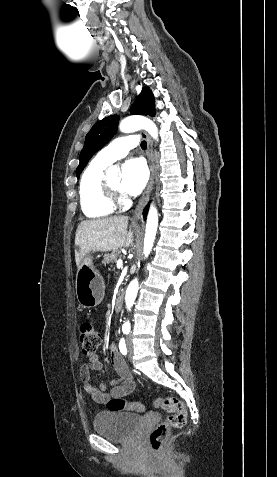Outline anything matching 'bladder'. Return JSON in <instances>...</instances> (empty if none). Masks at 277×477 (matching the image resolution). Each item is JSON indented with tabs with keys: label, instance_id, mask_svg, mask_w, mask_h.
<instances>
[{
	"label": "bladder",
	"instance_id": "31cf9c89",
	"mask_svg": "<svg viewBox=\"0 0 277 477\" xmlns=\"http://www.w3.org/2000/svg\"><path fill=\"white\" fill-rule=\"evenodd\" d=\"M141 421L135 413L106 411L94 418L93 427L96 433L109 440L125 441L137 433Z\"/></svg>",
	"mask_w": 277,
	"mask_h": 477
}]
</instances>
